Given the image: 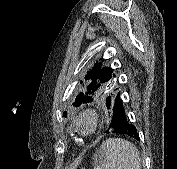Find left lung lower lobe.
I'll use <instances>...</instances> for the list:
<instances>
[{
	"instance_id": "obj_1",
	"label": "left lung lower lobe",
	"mask_w": 177,
	"mask_h": 169,
	"mask_svg": "<svg viewBox=\"0 0 177 169\" xmlns=\"http://www.w3.org/2000/svg\"><path fill=\"white\" fill-rule=\"evenodd\" d=\"M108 98L106 99V101ZM112 104V120L109 127L106 129V134H126L137 140H139V135L137 133L136 127L130 123L127 115L125 114L122 101L120 99V93L117 97L111 101Z\"/></svg>"
}]
</instances>
